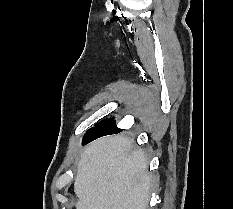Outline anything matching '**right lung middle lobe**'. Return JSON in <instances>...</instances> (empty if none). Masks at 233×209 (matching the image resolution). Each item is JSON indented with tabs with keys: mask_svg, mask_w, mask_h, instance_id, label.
Here are the masks:
<instances>
[{
	"mask_svg": "<svg viewBox=\"0 0 233 209\" xmlns=\"http://www.w3.org/2000/svg\"><path fill=\"white\" fill-rule=\"evenodd\" d=\"M115 126V121L113 119H106L98 124H96L95 127L89 129L87 133L85 134V138L89 137L91 134L97 131H102L104 129L112 128Z\"/></svg>",
	"mask_w": 233,
	"mask_h": 209,
	"instance_id": "dd1d6c3e",
	"label": "right lung middle lobe"
}]
</instances>
